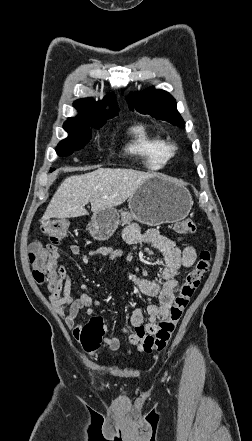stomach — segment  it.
Segmentation results:
<instances>
[{"mask_svg": "<svg viewBox=\"0 0 252 441\" xmlns=\"http://www.w3.org/2000/svg\"><path fill=\"white\" fill-rule=\"evenodd\" d=\"M192 204L185 187L169 177L154 175L128 199L129 211L101 210L93 214L87 227L94 239L106 240L119 224H128L132 219L150 226L181 221L189 214Z\"/></svg>", "mask_w": 252, "mask_h": 441, "instance_id": "stomach-1", "label": "stomach"}]
</instances>
